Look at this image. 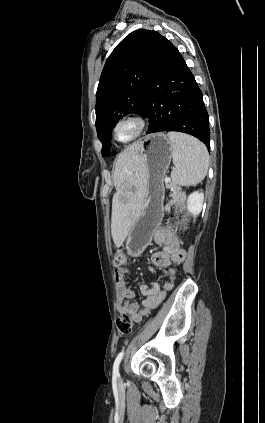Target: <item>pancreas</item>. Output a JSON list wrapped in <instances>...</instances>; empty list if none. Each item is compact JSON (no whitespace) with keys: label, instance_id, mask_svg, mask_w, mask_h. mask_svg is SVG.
Listing matches in <instances>:
<instances>
[{"label":"pancreas","instance_id":"cf45deb5","mask_svg":"<svg viewBox=\"0 0 265 423\" xmlns=\"http://www.w3.org/2000/svg\"><path fill=\"white\" fill-rule=\"evenodd\" d=\"M171 188L172 194L170 195L173 200L169 201V206L178 204L180 202L181 192L178 187H175L172 183L168 185Z\"/></svg>","mask_w":265,"mask_h":423}]
</instances>
